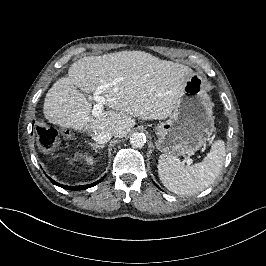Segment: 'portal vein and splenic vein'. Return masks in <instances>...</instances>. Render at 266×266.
<instances>
[{
	"label": "portal vein and splenic vein",
	"instance_id": "obj_1",
	"mask_svg": "<svg viewBox=\"0 0 266 266\" xmlns=\"http://www.w3.org/2000/svg\"><path fill=\"white\" fill-rule=\"evenodd\" d=\"M115 84H116L115 81H113V82H111V83H105V84L101 85V86L98 88V91L95 92V93L93 94V100L96 101V104L93 106V109H92V115H93L94 117L98 116L100 113L103 112V110H104V104L106 103V98L100 95L101 92H102L104 89H106V88H108V87H112V86L115 85ZM192 162H193L192 159H187V160H186V163H187L188 165H190Z\"/></svg>",
	"mask_w": 266,
	"mask_h": 266
}]
</instances>
